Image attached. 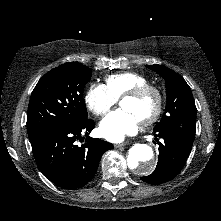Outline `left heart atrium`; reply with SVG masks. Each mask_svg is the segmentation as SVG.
I'll use <instances>...</instances> for the list:
<instances>
[{"label": "left heart atrium", "instance_id": "left-heart-atrium-1", "mask_svg": "<svg viewBox=\"0 0 221 221\" xmlns=\"http://www.w3.org/2000/svg\"><path fill=\"white\" fill-rule=\"evenodd\" d=\"M140 120L129 110L120 108L107 115L99 124L101 136L111 142H121L136 133Z\"/></svg>", "mask_w": 221, "mask_h": 221}]
</instances>
